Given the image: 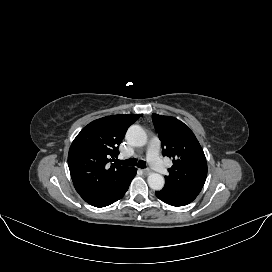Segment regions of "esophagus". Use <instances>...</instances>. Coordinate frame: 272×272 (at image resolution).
Listing matches in <instances>:
<instances>
[{"label":"esophagus","mask_w":272,"mask_h":272,"mask_svg":"<svg viewBox=\"0 0 272 272\" xmlns=\"http://www.w3.org/2000/svg\"><path fill=\"white\" fill-rule=\"evenodd\" d=\"M143 173H144L145 175H149V174L151 173V170H149V169H144V170H143Z\"/></svg>","instance_id":"34e87169"}]
</instances>
